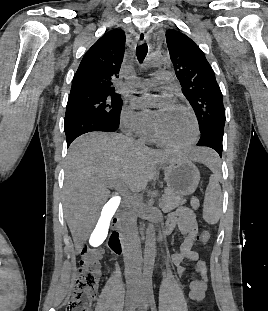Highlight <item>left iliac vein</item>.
Listing matches in <instances>:
<instances>
[{
    "label": "left iliac vein",
    "instance_id": "1",
    "mask_svg": "<svg viewBox=\"0 0 268 311\" xmlns=\"http://www.w3.org/2000/svg\"><path fill=\"white\" fill-rule=\"evenodd\" d=\"M147 286H145L142 281L137 295L136 306L141 311H147L148 308V296H147Z\"/></svg>",
    "mask_w": 268,
    "mask_h": 311
}]
</instances>
